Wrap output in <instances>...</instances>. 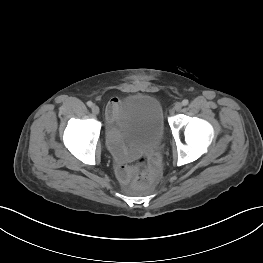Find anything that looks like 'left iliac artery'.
Wrapping results in <instances>:
<instances>
[{"mask_svg":"<svg viewBox=\"0 0 263 263\" xmlns=\"http://www.w3.org/2000/svg\"><path fill=\"white\" fill-rule=\"evenodd\" d=\"M188 103H189V101H188L187 99H184V100L182 101V105H183V106L188 105Z\"/></svg>","mask_w":263,"mask_h":263,"instance_id":"44dca946","label":"left iliac artery"}]
</instances>
